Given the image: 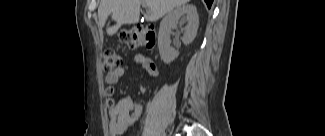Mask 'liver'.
<instances>
[{
	"mask_svg": "<svg viewBox=\"0 0 325 136\" xmlns=\"http://www.w3.org/2000/svg\"><path fill=\"white\" fill-rule=\"evenodd\" d=\"M187 2L189 0H101L98 8L99 25L103 27L111 15L116 25L107 28V34L114 35L121 25L139 21L141 4L149 9L145 14L146 20L153 22Z\"/></svg>",
	"mask_w": 325,
	"mask_h": 136,
	"instance_id": "1",
	"label": "liver"
}]
</instances>
